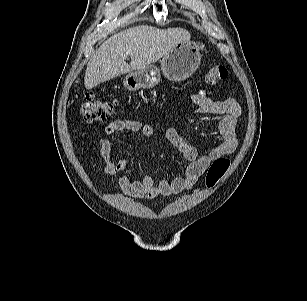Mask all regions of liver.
<instances>
[{"label": "liver", "mask_w": 307, "mask_h": 301, "mask_svg": "<svg viewBox=\"0 0 307 301\" xmlns=\"http://www.w3.org/2000/svg\"><path fill=\"white\" fill-rule=\"evenodd\" d=\"M182 28L158 29L141 25L121 31L102 43L91 57L85 72V87L92 89L110 79L142 69L158 61L176 44L189 41ZM130 55V64L126 58Z\"/></svg>", "instance_id": "1"}]
</instances>
